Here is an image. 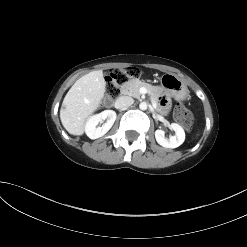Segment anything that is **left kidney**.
I'll return each mask as SVG.
<instances>
[{"instance_id": "obj_1", "label": "left kidney", "mask_w": 247, "mask_h": 247, "mask_svg": "<svg viewBox=\"0 0 247 247\" xmlns=\"http://www.w3.org/2000/svg\"><path fill=\"white\" fill-rule=\"evenodd\" d=\"M170 129L175 131L174 136H170L169 139H166L164 136L163 130L155 131V138L158 144L165 148H177L179 147L185 140V132L184 129L176 123H172Z\"/></svg>"}]
</instances>
